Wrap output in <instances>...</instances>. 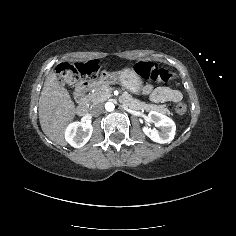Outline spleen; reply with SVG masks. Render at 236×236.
<instances>
[{"label": "spleen", "mask_w": 236, "mask_h": 236, "mask_svg": "<svg viewBox=\"0 0 236 236\" xmlns=\"http://www.w3.org/2000/svg\"><path fill=\"white\" fill-rule=\"evenodd\" d=\"M184 123V119L181 121L180 126Z\"/></svg>", "instance_id": "3e777b00"}]
</instances>
